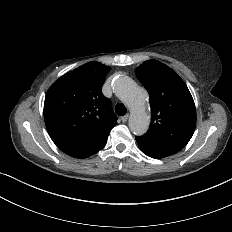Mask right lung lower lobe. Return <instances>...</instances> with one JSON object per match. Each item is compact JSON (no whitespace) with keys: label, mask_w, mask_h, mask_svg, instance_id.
Here are the masks:
<instances>
[{"label":"right lung lower lobe","mask_w":232,"mask_h":232,"mask_svg":"<svg viewBox=\"0 0 232 232\" xmlns=\"http://www.w3.org/2000/svg\"><path fill=\"white\" fill-rule=\"evenodd\" d=\"M97 152H95V153H97ZM95 153H91V154H78V155H70V156L75 157V158H87V157H89V156H91V155H93Z\"/></svg>","instance_id":"98d812e1"}]
</instances>
